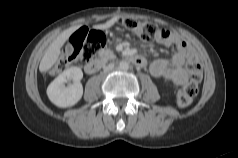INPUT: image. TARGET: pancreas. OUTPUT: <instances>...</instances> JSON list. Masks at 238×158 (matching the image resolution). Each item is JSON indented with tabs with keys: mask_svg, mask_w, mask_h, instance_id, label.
Listing matches in <instances>:
<instances>
[{
	"mask_svg": "<svg viewBox=\"0 0 238 158\" xmlns=\"http://www.w3.org/2000/svg\"><path fill=\"white\" fill-rule=\"evenodd\" d=\"M99 56L103 58H112L114 57V53L110 49H103L99 51Z\"/></svg>",
	"mask_w": 238,
	"mask_h": 158,
	"instance_id": "obj_1",
	"label": "pancreas"
}]
</instances>
